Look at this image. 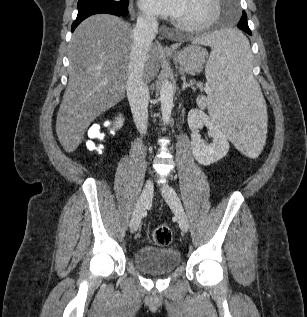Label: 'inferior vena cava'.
Segmentation results:
<instances>
[{
    "mask_svg": "<svg viewBox=\"0 0 307 317\" xmlns=\"http://www.w3.org/2000/svg\"><path fill=\"white\" fill-rule=\"evenodd\" d=\"M158 32V22L154 16L137 18L133 29V45L127 73L126 91L134 123L140 134H146L148 120L149 90L144 82V66L150 45Z\"/></svg>",
    "mask_w": 307,
    "mask_h": 317,
    "instance_id": "obj_1",
    "label": "inferior vena cava"
}]
</instances>
